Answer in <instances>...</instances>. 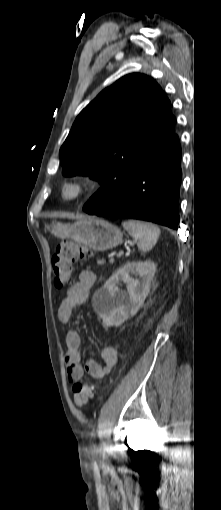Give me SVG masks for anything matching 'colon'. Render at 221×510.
Here are the masks:
<instances>
[{
    "label": "colon",
    "mask_w": 221,
    "mask_h": 510,
    "mask_svg": "<svg viewBox=\"0 0 221 510\" xmlns=\"http://www.w3.org/2000/svg\"><path fill=\"white\" fill-rule=\"evenodd\" d=\"M90 257L89 248L71 241L61 242L52 258L55 286L63 288L68 285L72 280L74 265L78 261L87 260ZM72 390L75 403L79 407L85 405L93 396V388L83 381L82 377L74 382Z\"/></svg>",
    "instance_id": "colon-1"
}]
</instances>
